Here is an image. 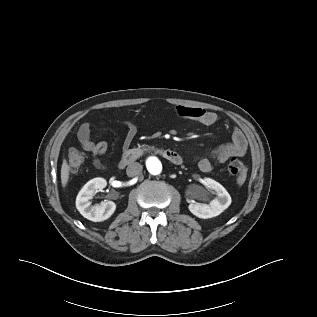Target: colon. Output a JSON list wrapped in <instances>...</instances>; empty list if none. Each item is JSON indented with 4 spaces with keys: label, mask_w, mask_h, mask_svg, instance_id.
Instances as JSON below:
<instances>
[{
    "label": "colon",
    "mask_w": 317,
    "mask_h": 317,
    "mask_svg": "<svg viewBox=\"0 0 317 317\" xmlns=\"http://www.w3.org/2000/svg\"><path fill=\"white\" fill-rule=\"evenodd\" d=\"M83 152L76 148H71L68 153L67 167L70 173H76L84 163ZM228 172L237 180H242L247 174V166L238 159H232L227 166Z\"/></svg>",
    "instance_id": "obj_1"
}]
</instances>
